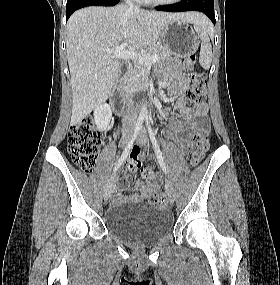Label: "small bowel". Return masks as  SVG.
Instances as JSON below:
<instances>
[{
  "label": "small bowel",
  "instance_id": "1",
  "mask_svg": "<svg viewBox=\"0 0 280 285\" xmlns=\"http://www.w3.org/2000/svg\"><path fill=\"white\" fill-rule=\"evenodd\" d=\"M170 86L171 91L176 96V106L178 107L181 116L185 123L174 122L171 124L172 132L180 137L181 144L185 147L188 142V133L192 128H196V131H208L210 129L209 120L207 118L208 106L205 102L199 104L194 111H190L186 106L185 93L190 86L189 78L181 73L179 66H175L172 70V79L165 80ZM137 149L141 150L138 146ZM141 166L139 159H130L127 165L128 173L136 172ZM147 169H151L148 167ZM152 170V169H151ZM153 171V170H152ZM154 172V171H153ZM129 182V177L125 176L121 182L119 189L114 193L113 200L115 202H126V201H140L146 199L153 193H156L160 189V183L158 176L154 173L150 180L142 182L136 180L134 187L137 193L127 197L123 194L124 186Z\"/></svg>",
  "mask_w": 280,
  "mask_h": 285
}]
</instances>
